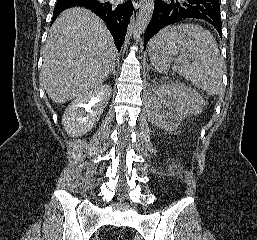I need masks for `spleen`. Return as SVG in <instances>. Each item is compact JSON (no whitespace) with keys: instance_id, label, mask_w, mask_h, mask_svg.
I'll return each mask as SVG.
<instances>
[{"instance_id":"obj_1","label":"spleen","mask_w":257,"mask_h":240,"mask_svg":"<svg viewBox=\"0 0 257 240\" xmlns=\"http://www.w3.org/2000/svg\"><path fill=\"white\" fill-rule=\"evenodd\" d=\"M178 54L189 61L181 63L175 60L174 72L208 94L217 95L223 91L225 63L208 30L195 24H179L162 29L150 42V61L160 73L169 72L171 56Z\"/></svg>"}]
</instances>
